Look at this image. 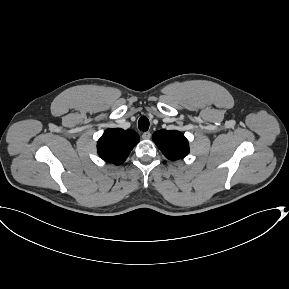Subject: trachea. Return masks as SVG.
<instances>
[{"instance_id": "1", "label": "trachea", "mask_w": 289, "mask_h": 289, "mask_svg": "<svg viewBox=\"0 0 289 289\" xmlns=\"http://www.w3.org/2000/svg\"><path fill=\"white\" fill-rule=\"evenodd\" d=\"M138 127L141 131H147L149 129V120L147 117L142 116L138 121Z\"/></svg>"}]
</instances>
